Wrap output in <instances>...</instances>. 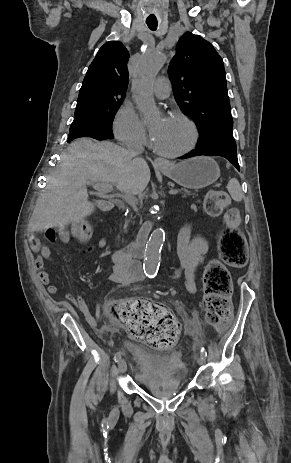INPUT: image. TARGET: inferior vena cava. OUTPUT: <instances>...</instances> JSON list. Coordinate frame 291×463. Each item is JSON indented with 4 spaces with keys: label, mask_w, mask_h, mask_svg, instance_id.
Returning a JSON list of instances; mask_svg holds the SVG:
<instances>
[{
    "label": "inferior vena cava",
    "mask_w": 291,
    "mask_h": 463,
    "mask_svg": "<svg viewBox=\"0 0 291 463\" xmlns=\"http://www.w3.org/2000/svg\"><path fill=\"white\" fill-rule=\"evenodd\" d=\"M125 150L130 156L136 157L144 151V148L141 144H129Z\"/></svg>",
    "instance_id": "602c4592"
}]
</instances>
